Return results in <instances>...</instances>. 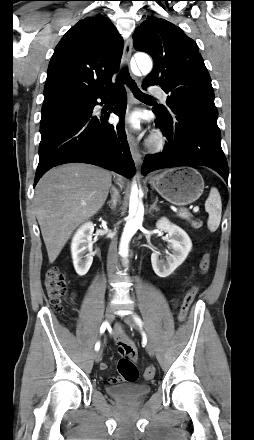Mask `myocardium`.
<instances>
[{
    "label": "myocardium",
    "mask_w": 254,
    "mask_h": 440,
    "mask_svg": "<svg viewBox=\"0 0 254 440\" xmlns=\"http://www.w3.org/2000/svg\"><path fill=\"white\" fill-rule=\"evenodd\" d=\"M165 144H166V137L161 132L155 133L151 137L149 142L150 147L155 151H159L163 149Z\"/></svg>",
    "instance_id": "f54148a6"
}]
</instances>
